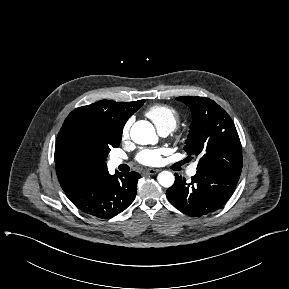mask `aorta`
Wrapping results in <instances>:
<instances>
[{"label": "aorta", "instance_id": "762f6f07", "mask_svg": "<svg viewBox=\"0 0 289 289\" xmlns=\"http://www.w3.org/2000/svg\"><path fill=\"white\" fill-rule=\"evenodd\" d=\"M131 139L141 145L155 144L157 136L153 125L148 121H137L130 130ZM157 180L163 187H171L174 184L175 177L170 171H162L158 174Z\"/></svg>", "mask_w": 289, "mask_h": 289}]
</instances>
